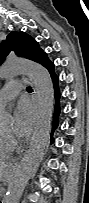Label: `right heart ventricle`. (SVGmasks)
I'll list each match as a JSON object with an SVG mask.
<instances>
[{"label":"right heart ventricle","mask_w":89,"mask_h":203,"mask_svg":"<svg viewBox=\"0 0 89 203\" xmlns=\"http://www.w3.org/2000/svg\"><path fill=\"white\" fill-rule=\"evenodd\" d=\"M12 152V147L2 134H0V160L7 159Z\"/></svg>","instance_id":"right-heart-ventricle-1"}]
</instances>
